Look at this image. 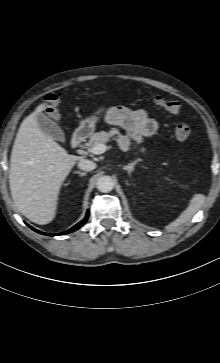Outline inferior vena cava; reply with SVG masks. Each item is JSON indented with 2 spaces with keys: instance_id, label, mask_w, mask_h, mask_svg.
<instances>
[{
  "instance_id": "obj_1",
  "label": "inferior vena cava",
  "mask_w": 220,
  "mask_h": 363,
  "mask_svg": "<svg viewBox=\"0 0 220 363\" xmlns=\"http://www.w3.org/2000/svg\"><path fill=\"white\" fill-rule=\"evenodd\" d=\"M78 167L84 171H92L96 168V163L91 160L81 158L78 162Z\"/></svg>"
}]
</instances>
